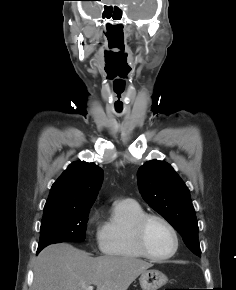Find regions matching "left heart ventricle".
Returning <instances> with one entry per match:
<instances>
[{
    "label": "left heart ventricle",
    "mask_w": 236,
    "mask_h": 290,
    "mask_svg": "<svg viewBox=\"0 0 236 290\" xmlns=\"http://www.w3.org/2000/svg\"><path fill=\"white\" fill-rule=\"evenodd\" d=\"M146 244L151 253L163 256L172 251L174 240L171 232L163 223L152 220L146 227Z\"/></svg>",
    "instance_id": "1"
}]
</instances>
